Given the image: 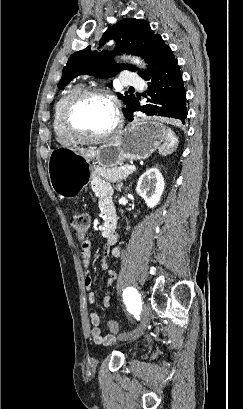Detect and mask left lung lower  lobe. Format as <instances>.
<instances>
[{"label":"left lung lower lobe","instance_id":"0a47b994","mask_svg":"<svg viewBox=\"0 0 243 409\" xmlns=\"http://www.w3.org/2000/svg\"><path fill=\"white\" fill-rule=\"evenodd\" d=\"M177 63L174 59L152 76V83L148 90V94L151 95L149 103L141 106L136 99L131 109L125 113L129 121L133 120V112L140 110L148 116L171 117L185 123L186 92Z\"/></svg>","mask_w":243,"mask_h":409}]
</instances>
